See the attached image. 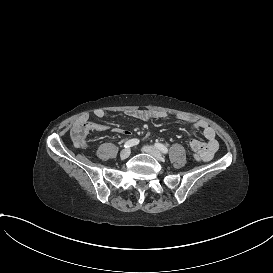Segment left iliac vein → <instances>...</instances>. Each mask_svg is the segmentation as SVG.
Listing matches in <instances>:
<instances>
[{"instance_id": "left-iliac-vein-1", "label": "left iliac vein", "mask_w": 273, "mask_h": 273, "mask_svg": "<svg viewBox=\"0 0 273 273\" xmlns=\"http://www.w3.org/2000/svg\"><path fill=\"white\" fill-rule=\"evenodd\" d=\"M143 150L148 154L152 155L153 157H155L157 160L159 161L163 160L162 154L157 148L153 146H144Z\"/></svg>"}]
</instances>
